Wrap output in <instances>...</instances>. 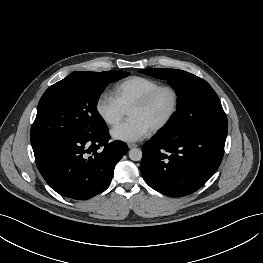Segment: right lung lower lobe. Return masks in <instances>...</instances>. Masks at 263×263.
Instances as JSON below:
<instances>
[{
  "instance_id": "obj_1",
  "label": "right lung lower lobe",
  "mask_w": 263,
  "mask_h": 263,
  "mask_svg": "<svg viewBox=\"0 0 263 263\" xmlns=\"http://www.w3.org/2000/svg\"><path fill=\"white\" fill-rule=\"evenodd\" d=\"M107 126L96 133L57 139L34 151L48 185L72 199H88L111 182L115 165L127 153L126 143L109 142Z\"/></svg>"
}]
</instances>
